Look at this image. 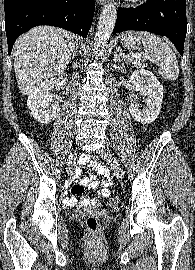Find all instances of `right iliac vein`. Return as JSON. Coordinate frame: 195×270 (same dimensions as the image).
Here are the masks:
<instances>
[{"label":"right iliac vein","instance_id":"right-iliac-vein-1","mask_svg":"<svg viewBox=\"0 0 195 270\" xmlns=\"http://www.w3.org/2000/svg\"><path fill=\"white\" fill-rule=\"evenodd\" d=\"M76 158H77V153L76 151L71 155L70 159H69V163H68V170L70 171V169H73L75 167L76 164Z\"/></svg>","mask_w":195,"mask_h":270}]
</instances>
